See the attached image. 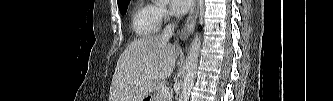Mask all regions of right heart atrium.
<instances>
[{
  "instance_id": "d8ad5b80",
  "label": "right heart atrium",
  "mask_w": 333,
  "mask_h": 101,
  "mask_svg": "<svg viewBox=\"0 0 333 101\" xmlns=\"http://www.w3.org/2000/svg\"><path fill=\"white\" fill-rule=\"evenodd\" d=\"M157 13L160 20H166L170 17V11L165 5H159L157 8Z\"/></svg>"
}]
</instances>
